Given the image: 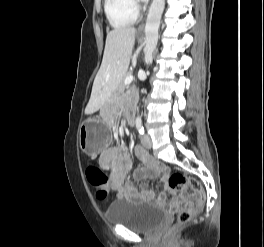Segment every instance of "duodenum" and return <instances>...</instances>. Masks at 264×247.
Here are the masks:
<instances>
[{
  "mask_svg": "<svg viewBox=\"0 0 264 247\" xmlns=\"http://www.w3.org/2000/svg\"><path fill=\"white\" fill-rule=\"evenodd\" d=\"M127 120H128L129 123H132L133 122L134 117H133V113L132 112H129L128 113Z\"/></svg>",
  "mask_w": 264,
  "mask_h": 247,
  "instance_id": "410a0bca",
  "label": "duodenum"
}]
</instances>
